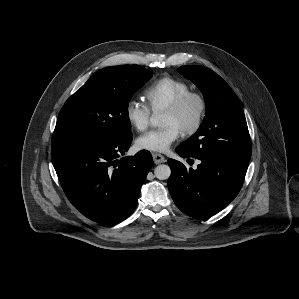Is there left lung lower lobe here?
<instances>
[{"mask_svg": "<svg viewBox=\"0 0 299 299\" xmlns=\"http://www.w3.org/2000/svg\"><path fill=\"white\" fill-rule=\"evenodd\" d=\"M183 158H193L179 147ZM197 169H187L181 162L169 159L170 194L177 207L194 218H208L225 208L239 193L249 162L228 158H197Z\"/></svg>", "mask_w": 299, "mask_h": 299, "instance_id": "1", "label": "left lung lower lobe"}]
</instances>
